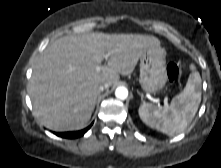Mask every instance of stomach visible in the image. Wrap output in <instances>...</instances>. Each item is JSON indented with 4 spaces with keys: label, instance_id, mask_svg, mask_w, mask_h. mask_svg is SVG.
Segmentation results:
<instances>
[{
    "label": "stomach",
    "instance_id": "obj_1",
    "mask_svg": "<svg viewBox=\"0 0 221 168\" xmlns=\"http://www.w3.org/2000/svg\"><path fill=\"white\" fill-rule=\"evenodd\" d=\"M140 62L141 88L147 93H157L167 82L165 51L162 48L149 49L142 54Z\"/></svg>",
    "mask_w": 221,
    "mask_h": 168
}]
</instances>
